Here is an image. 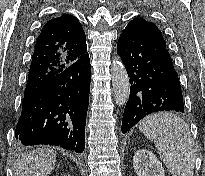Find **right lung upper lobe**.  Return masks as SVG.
Returning <instances> with one entry per match:
<instances>
[{
    "label": "right lung upper lobe",
    "mask_w": 205,
    "mask_h": 176,
    "mask_svg": "<svg viewBox=\"0 0 205 176\" xmlns=\"http://www.w3.org/2000/svg\"><path fill=\"white\" fill-rule=\"evenodd\" d=\"M85 54L86 36L78 19L69 14L51 19L37 38L25 93L58 75Z\"/></svg>",
    "instance_id": "right-lung-upper-lobe-1"
}]
</instances>
